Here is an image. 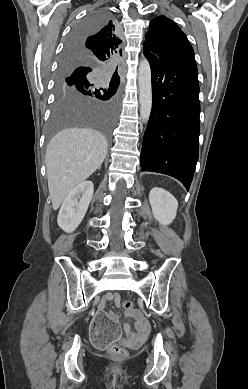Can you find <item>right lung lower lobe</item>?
Returning a JSON list of instances; mask_svg holds the SVG:
<instances>
[{"label":"right lung lower lobe","instance_id":"obj_1","mask_svg":"<svg viewBox=\"0 0 248 389\" xmlns=\"http://www.w3.org/2000/svg\"><path fill=\"white\" fill-rule=\"evenodd\" d=\"M82 39L83 38L76 39V40H74V43H79ZM64 53L69 55L68 59L73 57V56H71L72 55V49H64ZM68 59H66V61H68ZM82 73H88V72L84 71L83 69H77L70 76L74 77V76H77V75L82 74Z\"/></svg>","mask_w":248,"mask_h":389}]
</instances>
